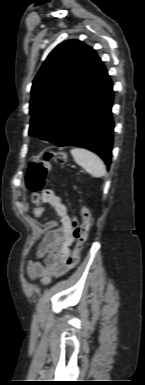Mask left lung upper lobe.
<instances>
[{
    "label": "left lung upper lobe",
    "mask_w": 145,
    "mask_h": 385,
    "mask_svg": "<svg viewBox=\"0 0 145 385\" xmlns=\"http://www.w3.org/2000/svg\"><path fill=\"white\" fill-rule=\"evenodd\" d=\"M97 61L95 51L78 40L65 41L49 54L31 89L29 135L52 140L84 91Z\"/></svg>",
    "instance_id": "obj_1"
}]
</instances>
